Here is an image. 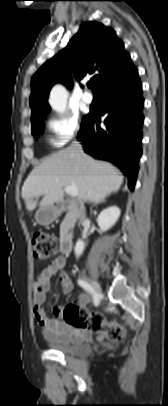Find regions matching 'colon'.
Here are the masks:
<instances>
[{"label":"colon","mask_w":168,"mask_h":406,"mask_svg":"<svg viewBox=\"0 0 168 406\" xmlns=\"http://www.w3.org/2000/svg\"><path fill=\"white\" fill-rule=\"evenodd\" d=\"M34 258L40 261L47 260L58 253L59 241L53 235L37 231L31 235ZM65 321L72 323L77 320L78 325L88 331L103 334L110 341H119L125 336V328L118 322L106 321L100 312H79L72 305L64 310Z\"/></svg>","instance_id":"obj_1"}]
</instances>
